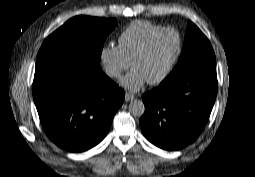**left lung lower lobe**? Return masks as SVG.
Wrapping results in <instances>:
<instances>
[{"label":"left lung lower lobe","mask_w":255,"mask_h":177,"mask_svg":"<svg viewBox=\"0 0 255 177\" xmlns=\"http://www.w3.org/2000/svg\"><path fill=\"white\" fill-rule=\"evenodd\" d=\"M217 94L216 67L188 72L145 93L144 136L165 150L183 148L204 129Z\"/></svg>","instance_id":"obj_1"}]
</instances>
